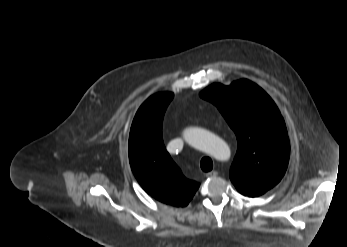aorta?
I'll use <instances>...</instances> for the list:
<instances>
[{"label":"aorta","mask_w":347,"mask_h":247,"mask_svg":"<svg viewBox=\"0 0 347 247\" xmlns=\"http://www.w3.org/2000/svg\"><path fill=\"white\" fill-rule=\"evenodd\" d=\"M183 137L194 148L204 151L218 160L224 161L230 157V147L218 136L205 129L186 128Z\"/></svg>","instance_id":"1"}]
</instances>
